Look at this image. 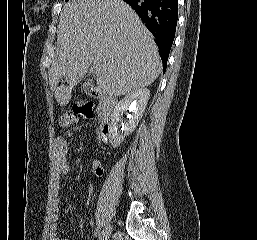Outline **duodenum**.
Segmentation results:
<instances>
[{
  "instance_id": "duodenum-1",
  "label": "duodenum",
  "mask_w": 257,
  "mask_h": 240,
  "mask_svg": "<svg viewBox=\"0 0 257 240\" xmlns=\"http://www.w3.org/2000/svg\"><path fill=\"white\" fill-rule=\"evenodd\" d=\"M85 91L90 96L97 98L102 104V118H101V136L103 140H107L112 127V117L117 106V100L114 96L104 92L100 88L86 84Z\"/></svg>"
}]
</instances>
